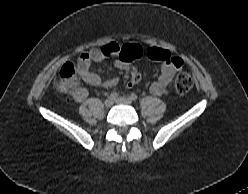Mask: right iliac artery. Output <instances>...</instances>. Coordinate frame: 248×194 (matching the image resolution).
Listing matches in <instances>:
<instances>
[{
	"instance_id": "right-iliac-artery-1",
	"label": "right iliac artery",
	"mask_w": 248,
	"mask_h": 194,
	"mask_svg": "<svg viewBox=\"0 0 248 194\" xmlns=\"http://www.w3.org/2000/svg\"><path fill=\"white\" fill-rule=\"evenodd\" d=\"M110 98H111L112 100H116V99L118 98V93L112 92V93L110 94Z\"/></svg>"
}]
</instances>
